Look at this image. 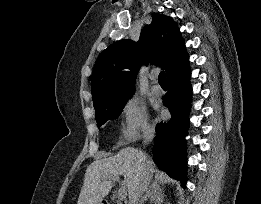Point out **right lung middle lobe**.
I'll return each mask as SVG.
<instances>
[{
    "label": "right lung middle lobe",
    "instance_id": "obj_1",
    "mask_svg": "<svg viewBox=\"0 0 261 204\" xmlns=\"http://www.w3.org/2000/svg\"><path fill=\"white\" fill-rule=\"evenodd\" d=\"M131 95H133V93L127 94L114 102L95 106L98 127L104 124L107 120L117 119Z\"/></svg>",
    "mask_w": 261,
    "mask_h": 204
}]
</instances>
